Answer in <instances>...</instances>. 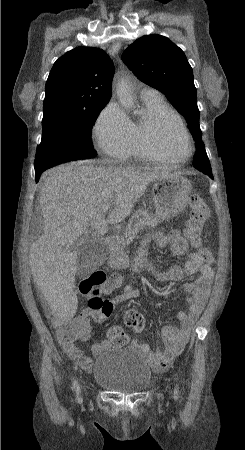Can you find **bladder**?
I'll use <instances>...</instances> for the list:
<instances>
[{
	"instance_id": "1",
	"label": "bladder",
	"mask_w": 245,
	"mask_h": 450,
	"mask_svg": "<svg viewBox=\"0 0 245 450\" xmlns=\"http://www.w3.org/2000/svg\"><path fill=\"white\" fill-rule=\"evenodd\" d=\"M93 381L112 391L132 394L145 391L151 384L152 374L138 350L122 347L97 359Z\"/></svg>"
}]
</instances>
